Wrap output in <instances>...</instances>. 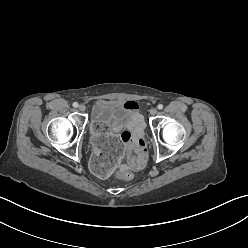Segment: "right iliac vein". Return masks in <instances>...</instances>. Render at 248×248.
<instances>
[{
  "label": "right iliac vein",
  "instance_id": "obj_1",
  "mask_svg": "<svg viewBox=\"0 0 248 248\" xmlns=\"http://www.w3.org/2000/svg\"><path fill=\"white\" fill-rule=\"evenodd\" d=\"M79 110H80L81 112H84V111L86 110V106L83 105V104L79 105Z\"/></svg>",
  "mask_w": 248,
  "mask_h": 248
}]
</instances>
